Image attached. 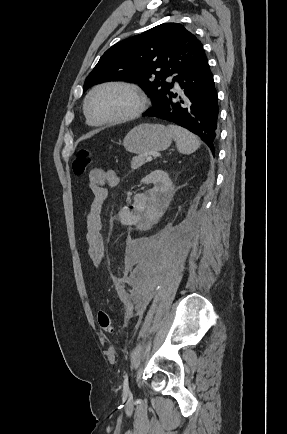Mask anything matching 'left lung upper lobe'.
Wrapping results in <instances>:
<instances>
[{
  "label": "left lung upper lobe",
  "instance_id": "obj_1",
  "mask_svg": "<svg viewBox=\"0 0 287 434\" xmlns=\"http://www.w3.org/2000/svg\"><path fill=\"white\" fill-rule=\"evenodd\" d=\"M204 54L201 42L178 23H163L109 48L86 78L83 92L110 80L144 86L153 106L169 90L167 77Z\"/></svg>",
  "mask_w": 287,
  "mask_h": 434
}]
</instances>
